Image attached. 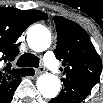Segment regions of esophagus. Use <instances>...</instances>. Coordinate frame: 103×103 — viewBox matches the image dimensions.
Masks as SVG:
<instances>
[{"mask_svg": "<svg viewBox=\"0 0 103 103\" xmlns=\"http://www.w3.org/2000/svg\"><path fill=\"white\" fill-rule=\"evenodd\" d=\"M43 72H44V68L43 67H39L38 69L35 70V74L36 75H39V74H41Z\"/></svg>", "mask_w": 103, "mask_h": 103, "instance_id": "34e87169", "label": "esophagus"}]
</instances>
